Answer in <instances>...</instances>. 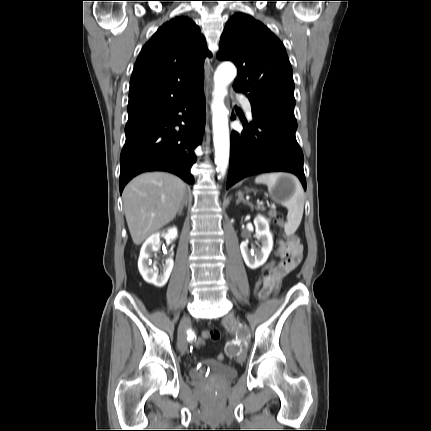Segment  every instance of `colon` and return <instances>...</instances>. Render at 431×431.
<instances>
[{
	"label": "colon",
	"instance_id": "5ec220e1",
	"mask_svg": "<svg viewBox=\"0 0 431 431\" xmlns=\"http://www.w3.org/2000/svg\"><path fill=\"white\" fill-rule=\"evenodd\" d=\"M273 216L276 219L278 225L280 226L281 237H284L285 242H289V237L287 235H285V232H283L284 231V228H283L284 221H283L282 217L279 214H277V213H273ZM294 237L295 236H291V240H293ZM275 265H276V260L275 259H270L269 263H266L265 267L264 266L261 267L260 270H261V272L264 273L267 270L266 268H272V266H275ZM262 278H263V275H259V278H257L255 284H253V286H252L253 289H255V290H261L262 289V286H263V280H262ZM252 300L253 301H258L259 300V295L256 294V293H253ZM219 337H220V333H219L218 330H215V329H213V330H204L202 332V337L197 336L193 340L194 343L196 344V346H195L196 350L204 348L205 345H204V343H202L204 339H210V340H214L215 341V340H218ZM224 358H225L224 354H220L219 355V359L220 360H223Z\"/></svg>",
	"mask_w": 431,
	"mask_h": 431
}]
</instances>
